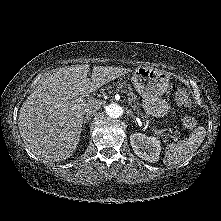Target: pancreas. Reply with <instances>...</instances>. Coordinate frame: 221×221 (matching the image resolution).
I'll list each match as a JSON object with an SVG mask.
<instances>
[{
    "mask_svg": "<svg viewBox=\"0 0 221 221\" xmlns=\"http://www.w3.org/2000/svg\"><path fill=\"white\" fill-rule=\"evenodd\" d=\"M115 86L120 89H122V88L125 89L128 92V94L131 98V101L133 102L132 103L133 109L137 112L138 115H141L142 118L146 117V116H144L143 113H141V111H140L141 104L138 101V97L134 94L131 85L129 83H127V81L120 80L117 83H113L112 85H109L108 87L101 89V92L104 93L105 91H110Z\"/></svg>",
    "mask_w": 221,
    "mask_h": 221,
    "instance_id": "cf45deb5",
    "label": "pancreas"
}]
</instances>
